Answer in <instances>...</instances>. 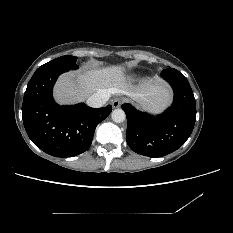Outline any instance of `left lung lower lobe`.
Returning <instances> with one entry per match:
<instances>
[{"instance_id": "obj_1", "label": "left lung lower lobe", "mask_w": 233, "mask_h": 233, "mask_svg": "<svg viewBox=\"0 0 233 233\" xmlns=\"http://www.w3.org/2000/svg\"><path fill=\"white\" fill-rule=\"evenodd\" d=\"M174 91V101L165 112L153 116L123 104L127 117L126 139L136 153L161 157L183 145L191 135L195 120V98L187 78L174 68L162 72Z\"/></svg>"}]
</instances>
